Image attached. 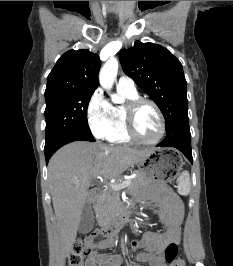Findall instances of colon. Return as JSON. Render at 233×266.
I'll use <instances>...</instances> for the list:
<instances>
[{
    "instance_id": "5ec220e1",
    "label": "colon",
    "mask_w": 233,
    "mask_h": 266,
    "mask_svg": "<svg viewBox=\"0 0 233 266\" xmlns=\"http://www.w3.org/2000/svg\"><path fill=\"white\" fill-rule=\"evenodd\" d=\"M97 234H90L83 239H78L68 257V266H84V257L90 252V244ZM165 260L169 266H186L184 259L178 256L176 244H169L165 248Z\"/></svg>"
}]
</instances>
